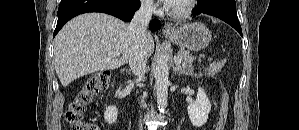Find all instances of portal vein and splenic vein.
Wrapping results in <instances>:
<instances>
[{
  "label": "portal vein and splenic vein",
  "instance_id": "obj_1",
  "mask_svg": "<svg viewBox=\"0 0 299 130\" xmlns=\"http://www.w3.org/2000/svg\"><path fill=\"white\" fill-rule=\"evenodd\" d=\"M108 55H109L110 57H116V56H119V54H118L117 52H109ZM181 59H182L181 56H178V57H177V59H176V63H177L178 65H180V63H181Z\"/></svg>",
  "mask_w": 299,
  "mask_h": 130
}]
</instances>
